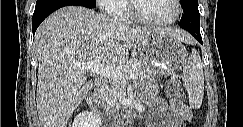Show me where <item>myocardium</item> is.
I'll return each instance as SVG.
<instances>
[{
	"label": "myocardium",
	"instance_id": "1",
	"mask_svg": "<svg viewBox=\"0 0 243 127\" xmlns=\"http://www.w3.org/2000/svg\"><path fill=\"white\" fill-rule=\"evenodd\" d=\"M138 2L139 0H130L129 2V11L132 17L144 24L152 25V26H169L174 24L180 17L181 12H182V6H181V1L180 0H172L174 6H175V14L173 17L167 20H154L150 19L144 15L141 14L139 11L138 7Z\"/></svg>",
	"mask_w": 243,
	"mask_h": 127
}]
</instances>
